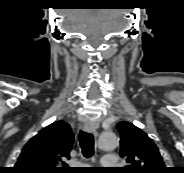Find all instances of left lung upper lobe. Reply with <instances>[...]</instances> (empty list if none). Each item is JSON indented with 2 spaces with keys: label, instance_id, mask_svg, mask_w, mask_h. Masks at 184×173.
I'll return each mask as SVG.
<instances>
[{
  "label": "left lung upper lobe",
  "instance_id": "left-lung-upper-lobe-1",
  "mask_svg": "<svg viewBox=\"0 0 184 173\" xmlns=\"http://www.w3.org/2000/svg\"><path fill=\"white\" fill-rule=\"evenodd\" d=\"M121 134L120 155L130 163L121 173H166L167 168L155 143L138 127L129 122L117 125Z\"/></svg>",
  "mask_w": 184,
  "mask_h": 173
}]
</instances>
